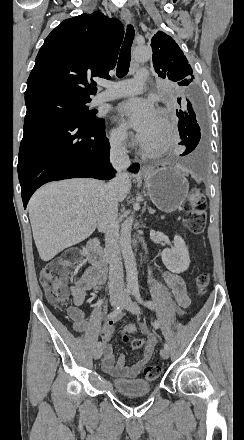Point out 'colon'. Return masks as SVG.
Returning a JSON list of instances; mask_svg holds the SVG:
<instances>
[{"instance_id": "1", "label": "colon", "mask_w": 244, "mask_h": 440, "mask_svg": "<svg viewBox=\"0 0 244 440\" xmlns=\"http://www.w3.org/2000/svg\"><path fill=\"white\" fill-rule=\"evenodd\" d=\"M206 220V201L202 190L196 189L191 196L190 204L185 209L184 221L189 231L196 235L203 232ZM63 253L65 257L61 260H54L47 264L40 276V284L48 299L57 304L68 300V277L75 269L76 262H78L82 251L80 248H65ZM195 283L199 294H203L205 287L209 283L208 275H198L195 278ZM66 311L67 314H72L74 319H81L83 316L80 305H67ZM134 328V324H129L125 329L127 331H134ZM122 339L123 341H127L128 337L124 335ZM144 344L143 339L135 338L131 341L132 350L138 353L144 348ZM160 372V366L149 365L144 369L143 378L147 382H154L159 377Z\"/></svg>"}]
</instances>
